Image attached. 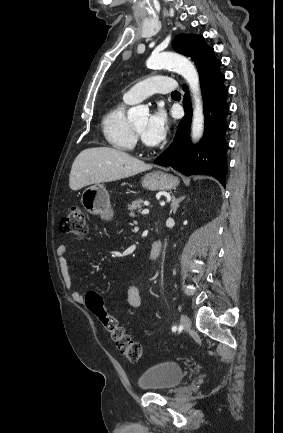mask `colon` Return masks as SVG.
Segmentation results:
<instances>
[{"label": "colon", "instance_id": "1", "mask_svg": "<svg viewBox=\"0 0 283 433\" xmlns=\"http://www.w3.org/2000/svg\"><path fill=\"white\" fill-rule=\"evenodd\" d=\"M60 229L62 232L71 234L76 239H84L88 227L83 208L72 206L67 216L62 218ZM85 305L110 333L112 341L123 357L130 362H137L143 355V346L134 341L126 330L118 324L117 320L107 313L100 295L96 292L87 293Z\"/></svg>", "mask_w": 283, "mask_h": 433}]
</instances>
